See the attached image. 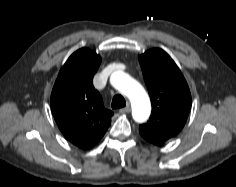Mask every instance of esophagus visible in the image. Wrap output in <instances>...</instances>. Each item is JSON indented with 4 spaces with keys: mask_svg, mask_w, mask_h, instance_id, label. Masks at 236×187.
Masks as SVG:
<instances>
[{
    "mask_svg": "<svg viewBox=\"0 0 236 187\" xmlns=\"http://www.w3.org/2000/svg\"><path fill=\"white\" fill-rule=\"evenodd\" d=\"M130 111H131V108L129 106H127V107H124V108L120 109L119 113L120 114L129 113Z\"/></svg>",
    "mask_w": 236,
    "mask_h": 187,
    "instance_id": "esophagus-1",
    "label": "esophagus"
}]
</instances>
